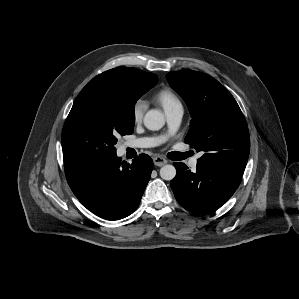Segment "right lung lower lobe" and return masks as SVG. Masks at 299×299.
Instances as JSON below:
<instances>
[{
	"instance_id": "right-lung-lower-lobe-1",
	"label": "right lung lower lobe",
	"mask_w": 299,
	"mask_h": 299,
	"mask_svg": "<svg viewBox=\"0 0 299 299\" xmlns=\"http://www.w3.org/2000/svg\"><path fill=\"white\" fill-rule=\"evenodd\" d=\"M63 159L75 196L88 210L108 220H119L135 211L153 168L146 154L131 164L116 154L105 158L63 154Z\"/></svg>"
}]
</instances>
